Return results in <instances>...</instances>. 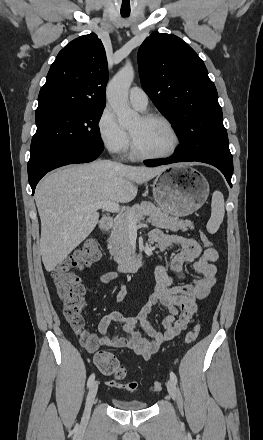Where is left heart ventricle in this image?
Wrapping results in <instances>:
<instances>
[{
	"label": "left heart ventricle",
	"mask_w": 263,
	"mask_h": 440,
	"mask_svg": "<svg viewBox=\"0 0 263 440\" xmlns=\"http://www.w3.org/2000/svg\"><path fill=\"white\" fill-rule=\"evenodd\" d=\"M128 129L138 147L146 153H164L172 147V134L159 121L146 122L139 117Z\"/></svg>",
	"instance_id": "obj_1"
}]
</instances>
